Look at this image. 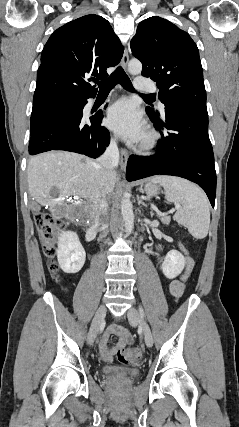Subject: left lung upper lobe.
<instances>
[{
	"label": "left lung upper lobe",
	"mask_w": 239,
	"mask_h": 427,
	"mask_svg": "<svg viewBox=\"0 0 239 427\" xmlns=\"http://www.w3.org/2000/svg\"><path fill=\"white\" fill-rule=\"evenodd\" d=\"M130 47L143 64L142 75L156 81L162 103L207 113L199 51L188 33L154 16L138 25Z\"/></svg>",
	"instance_id": "left-lung-upper-lobe-1"
}]
</instances>
